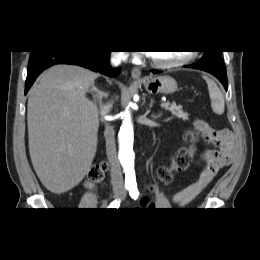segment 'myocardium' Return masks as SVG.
<instances>
[{
	"label": "myocardium",
	"instance_id": "1",
	"mask_svg": "<svg viewBox=\"0 0 260 260\" xmlns=\"http://www.w3.org/2000/svg\"><path fill=\"white\" fill-rule=\"evenodd\" d=\"M196 56V53L193 51H190L186 53L185 56H183L180 59L174 60V61H169V62H160L154 59L151 55H149V61L150 63L155 66L156 68L160 69H174L178 68L181 66H184L188 63H190Z\"/></svg>",
	"mask_w": 260,
	"mask_h": 260
}]
</instances>
